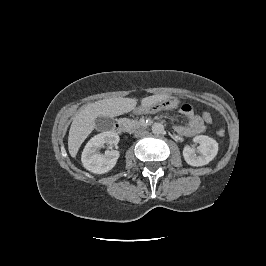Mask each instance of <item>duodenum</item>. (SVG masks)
Masks as SVG:
<instances>
[{"label":"duodenum","instance_id":"duodenum-1","mask_svg":"<svg viewBox=\"0 0 266 266\" xmlns=\"http://www.w3.org/2000/svg\"><path fill=\"white\" fill-rule=\"evenodd\" d=\"M126 129H127V126H126V123L124 122V120L120 119V120L116 121L115 130L118 133H123L126 131Z\"/></svg>","mask_w":266,"mask_h":266}]
</instances>
